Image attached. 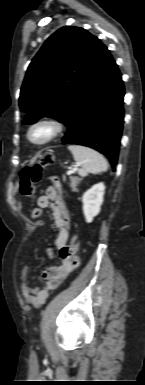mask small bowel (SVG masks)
Wrapping results in <instances>:
<instances>
[{
	"instance_id": "small-bowel-1",
	"label": "small bowel",
	"mask_w": 145,
	"mask_h": 385,
	"mask_svg": "<svg viewBox=\"0 0 145 385\" xmlns=\"http://www.w3.org/2000/svg\"><path fill=\"white\" fill-rule=\"evenodd\" d=\"M50 185L46 189V193L37 199L39 208L50 207L53 213L54 224L57 229V237L55 239L56 249H61L66 245L70 236V216L61 196V184L58 179L51 178ZM43 222H38V226H42ZM48 257L53 260L55 253L52 248L47 249ZM74 270V267L68 260H62L59 266H53L44 271V286L34 287L28 283V266L22 269V287L21 295L27 306L39 308L45 304L50 292L57 289L60 284Z\"/></svg>"
}]
</instances>
